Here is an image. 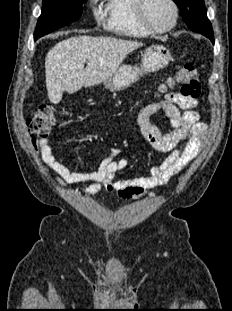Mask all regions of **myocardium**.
I'll list each match as a JSON object with an SVG mask.
<instances>
[{
	"instance_id": "obj_1",
	"label": "myocardium",
	"mask_w": 232,
	"mask_h": 311,
	"mask_svg": "<svg viewBox=\"0 0 232 311\" xmlns=\"http://www.w3.org/2000/svg\"><path fill=\"white\" fill-rule=\"evenodd\" d=\"M145 2L146 0H134L133 4L135 18L141 27L150 33H165L176 26L179 17V8L175 0H168L173 9V19L168 26L162 28L155 27L147 21L144 13Z\"/></svg>"
}]
</instances>
